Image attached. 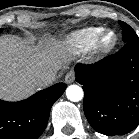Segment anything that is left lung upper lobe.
I'll list each match as a JSON object with an SVG mask.
<instances>
[{
    "label": "left lung upper lobe",
    "instance_id": "5c2ea615",
    "mask_svg": "<svg viewBox=\"0 0 139 139\" xmlns=\"http://www.w3.org/2000/svg\"><path fill=\"white\" fill-rule=\"evenodd\" d=\"M121 27H122V33H123V41L125 43L133 41V40H139V37L135 33V31L125 22L119 21Z\"/></svg>",
    "mask_w": 139,
    "mask_h": 139
}]
</instances>
